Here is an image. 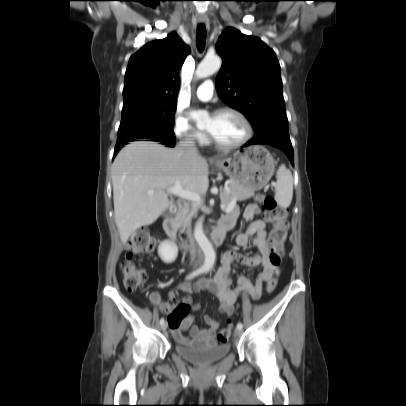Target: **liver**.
<instances>
[{"instance_id":"liver-1","label":"liver","mask_w":406,"mask_h":406,"mask_svg":"<svg viewBox=\"0 0 406 406\" xmlns=\"http://www.w3.org/2000/svg\"><path fill=\"white\" fill-rule=\"evenodd\" d=\"M205 158L166 148L152 141H134L116 156L112 166L114 218L125 244L132 233L154 223L171 205L165 192L180 185L204 194L209 186Z\"/></svg>"}]
</instances>
